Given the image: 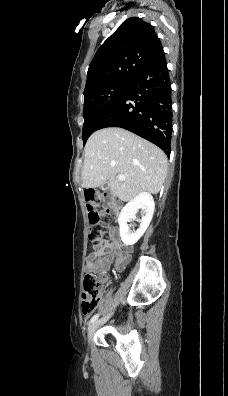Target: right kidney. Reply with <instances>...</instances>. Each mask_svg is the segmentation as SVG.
I'll list each match as a JSON object with an SVG mask.
<instances>
[{"label": "right kidney", "mask_w": 228, "mask_h": 396, "mask_svg": "<svg viewBox=\"0 0 228 396\" xmlns=\"http://www.w3.org/2000/svg\"><path fill=\"white\" fill-rule=\"evenodd\" d=\"M142 211L140 225L136 231H131L128 222L136 219L138 210ZM155 209L152 195L142 192L128 202L120 212L118 223L120 227V237L125 245H134L147 230Z\"/></svg>", "instance_id": "right-kidney-1"}]
</instances>
